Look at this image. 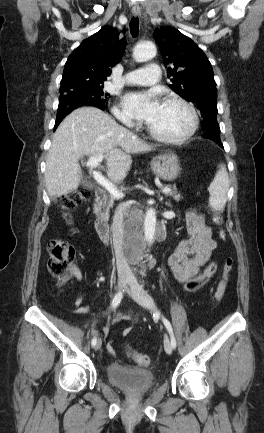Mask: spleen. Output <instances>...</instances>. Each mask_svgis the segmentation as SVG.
<instances>
[{"label":"spleen","mask_w":264,"mask_h":433,"mask_svg":"<svg viewBox=\"0 0 264 433\" xmlns=\"http://www.w3.org/2000/svg\"><path fill=\"white\" fill-rule=\"evenodd\" d=\"M210 206L219 212L224 210L229 190V177L225 165H221L209 188Z\"/></svg>","instance_id":"1"}]
</instances>
